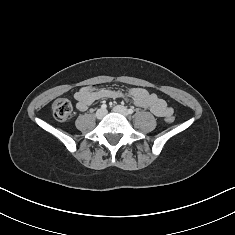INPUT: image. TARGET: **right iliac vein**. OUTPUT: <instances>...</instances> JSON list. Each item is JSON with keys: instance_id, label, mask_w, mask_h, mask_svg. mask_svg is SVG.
<instances>
[{"instance_id": "obj_1", "label": "right iliac vein", "mask_w": 235, "mask_h": 235, "mask_svg": "<svg viewBox=\"0 0 235 235\" xmlns=\"http://www.w3.org/2000/svg\"><path fill=\"white\" fill-rule=\"evenodd\" d=\"M106 115V110L104 109H98L96 112V118L102 119Z\"/></svg>"}]
</instances>
